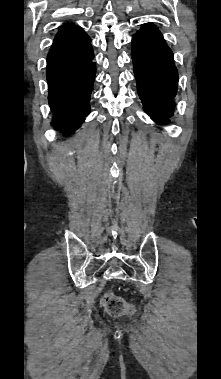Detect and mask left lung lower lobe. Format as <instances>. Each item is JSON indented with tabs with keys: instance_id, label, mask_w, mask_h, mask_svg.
Listing matches in <instances>:
<instances>
[{
	"instance_id": "0a47b994",
	"label": "left lung lower lobe",
	"mask_w": 221,
	"mask_h": 379,
	"mask_svg": "<svg viewBox=\"0 0 221 379\" xmlns=\"http://www.w3.org/2000/svg\"><path fill=\"white\" fill-rule=\"evenodd\" d=\"M131 56L145 112L155 121L167 122L173 114L178 72L172 51L154 25H143L133 37Z\"/></svg>"
}]
</instances>
